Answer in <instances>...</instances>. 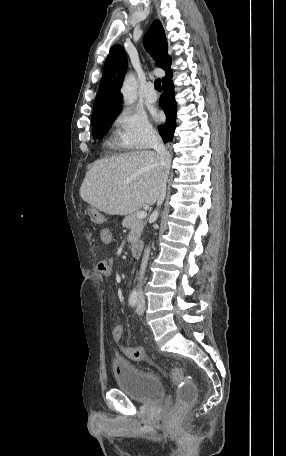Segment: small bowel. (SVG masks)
Segmentation results:
<instances>
[{
	"label": "small bowel",
	"mask_w": 286,
	"mask_h": 456,
	"mask_svg": "<svg viewBox=\"0 0 286 456\" xmlns=\"http://www.w3.org/2000/svg\"><path fill=\"white\" fill-rule=\"evenodd\" d=\"M101 239L104 243L109 244L112 241V236L111 232L108 229H103L101 231ZM114 259L113 258H107L101 260L97 264V272L102 275L103 277L110 278L112 274V270L114 267ZM123 336V327L120 324H117L114 326L112 330V338L115 342H119ZM124 348L122 347V351L124 353Z\"/></svg>",
	"instance_id": "small-bowel-1"
}]
</instances>
